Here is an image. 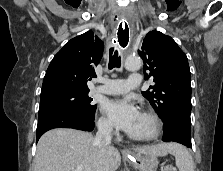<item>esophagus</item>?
<instances>
[{"instance_id":"34e87169","label":"esophagus","mask_w":223,"mask_h":171,"mask_svg":"<svg viewBox=\"0 0 223 171\" xmlns=\"http://www.w3.org/2000/svg\"><path fill=\"white\" fill-rule=\"evenodd\" d=\"M130 25L131 22L128 21V18L125 17L124 13H121L116 30V35L122 47H125L128 44L129 39L132 38ZM124 152H129V150L125 149Z\"/></svg>"}]
</instances>
